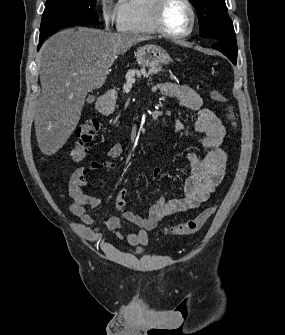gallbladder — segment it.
Here are the masks:
<instances>
[{
    "mask_svg": "<svg viewBox=\"0 0 285 335\" xmlns=\"http://www.w3.org/2000/svg\"><path fill=\"white\" fill-rule=\"evenodd\" d=\"M87 102H89V104H90V100H87Z\"/></svg>",
    "mask_w": 285,
    "mask_h": 335,
    "instance_id": "1",
    "label": "gallbladder"
}]
</instances>
